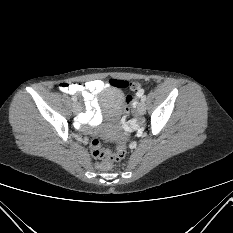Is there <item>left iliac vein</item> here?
Returning <instances> with one entry per match:
<instances>
[{
  "label": "left iliac vein",
  "instance_id": "left-iliac-vein-1",
  "mask_svg": "<svg viewBox=\"0 0 233 233\" xmlns=\"http://www.w3.org/2000/svg\"><path fill=\"white\" fill-rule=\"evenodd\" d=\"M146 111L145 103L143 101L139 102L137 105V112L140 115H143Z\"/></svg>",
  "mask_w": 233,
  "mask_h": 233
}]
</instances>
